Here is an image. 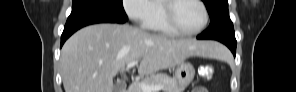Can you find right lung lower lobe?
<instances>
[{
    "mask_svg": "<svg viewBox=\"0 0 296 92\" xmlns=\"http://www.w3.org/2000/svg\"><path fill=\"white\" fill-rule=\"evenodd\" d=\"M128 19L121 18L112 14L86 10L79 12H71L67 19L64 27V31L61 36V46L66 41V39L71 36L78 29L95 23H125Z\"/></svg>",
    "mask_w": 296,
    "mask_h": 92,
    "instance_id": "obj_1",
    "label": "right lung lower lobe"
}]
</instances>
